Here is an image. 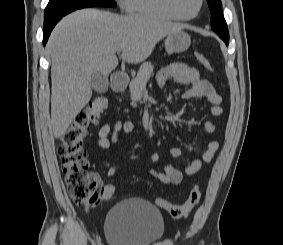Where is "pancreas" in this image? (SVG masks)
<instances>
[{
	"label": "pancreas",
	"mask_w": 283,
	"mask_h": 245,
	"mask_svg": "<svg viewBox=\"0 0 283 245\" xmlns=\"http://www.w3.org/2000/svg\"><path fill=\"white\" fill-rule=\"evenodd\" d=\"M153 68L154 67L151 64V62L143 63L140 66L136 77H133V80L130 82L129 88L131 93L132 106H135L136 102L140 100L142 92L146 87V83L149 81L151 77Z\"/></svg>",
	"instance_id": "cf45deb5"
}]
</instances>
